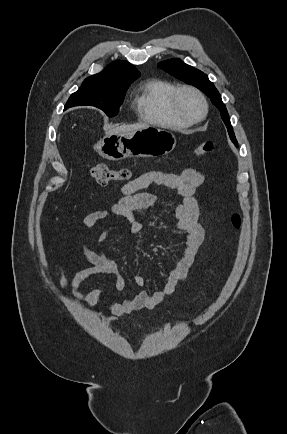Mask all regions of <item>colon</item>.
<instances>
[{"mask_svg": "<svg viewBox=\"0 0 287 434\" xmlns=\"http://www.w3.org/2000/svg\"><path fill=\"white\" fill-rule=\"evenodd\" d=\"M214 145L212 142H202L195 150L198 156H205L212 153ZM91 176L99 185H107L109 182L115 181L124 183L131 178V171L128 168H111L104 164H98L90 169ZM231 222L234 228L238 229L241 224L239 214H233Z\"/></svg>", "mask_w": 287, "mask_h": 434, "instance_id": "5ec220e1", "label": "colon"}]
</instances>
